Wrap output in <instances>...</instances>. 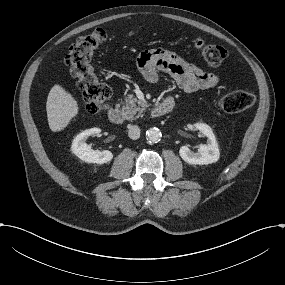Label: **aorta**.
<instances>
[{"mask_svg":"<svg viewBox=\"0 0 285 285\" xmlns=\"http://www.w3.org/2000/svg\"><path fill=\"white\" fill-rule=\"evenodd\" d=\"M161 137V131L156 127L150 128L146 131V138L149 142H158Z\"/></svg>","mask_w":285,"mask_h":285,"instance_id":"1","label":"aorta"}]
</instances>
